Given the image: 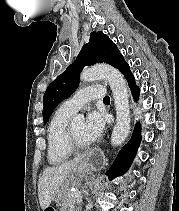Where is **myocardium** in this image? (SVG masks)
I'll return each mask as SVG.
<instances>
[{"instance_id":"f54148a6","label":"myocardium","mask_w":179,"mask_h":211,"mask_svg":"<svg viewBox=\"0 0 179 211\" xmlns=\"http://www.w3.org/2000/svg\"><path fill=\"white\" fill-rule=\"evenodd\" d=\"M67 144L72 152H81L87 150L90 145L88 143L80 142L74 134L72 124L67 128Z\"/></svg>"}]
</instances>
